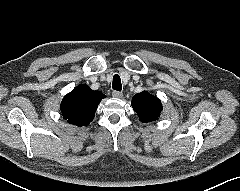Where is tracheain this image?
<instances>
[{"label": "trachea", "mask_w": 240, "mask_h": 191, "mask_svg": "<svg viewBox=\"0 0 240 191\" xmlns=\"http://www.w3.org/2000/svg\"><path fill=\"white\" fill-rule=\"evenodd\" d=\"M112 87L116 91H121L122 90L121 79H120V76L117 75V74L113 76Z\"/></svg>", "instance_id": "1"}]
</instances>
